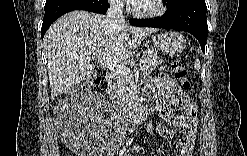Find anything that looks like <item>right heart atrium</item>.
Segmentation results:
<instances>
[{
	"label": "right heart atrium",
	"instance_id": "right-heart-atrium-1",
	"mask_svg": "<svg viewBox=\"0 0 247 156\" xmlns=\"http://www.w3.org/2000/svg\"><path fill=\"white\" fill-rule=\"evenodd\" d=\"M123 1H121V0H113V1H111V5L114 7V8H117V9H120V8H122V6H123Z\"/></svg>",
	"mask_w": 247,
	"mask_h": 156
}]
</instances>
